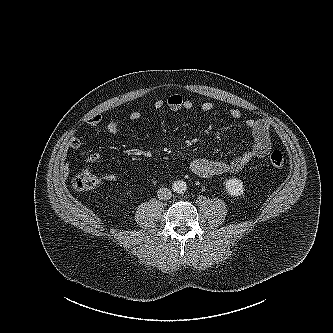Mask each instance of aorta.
Returning a JSON list of instances; mask_svg holds the SVG:
<instances>
[{"instance_id": "762f6f07", "label": "aorta", "mask_w": 333, "mask_h": 333, "mask_svg": "<svg viewBox=\"0 0 333 333\" xmlns=\"http://www.w3.org/2000/svg\"><path fill=\"white\" fill-rule=\"evenodd\" d=\"M173 190L178 194H183L187 190L186 182L183 180H177L173 183Z\"/></svg>"}]
</instances>
